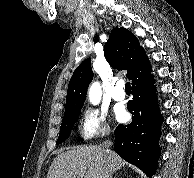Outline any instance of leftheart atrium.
<instances>
[{
	"label": "left heart atrium",
	"instance_id": "39dd6f15",
	"mask_svg": "<svg viewBox=\"0 0 194 178\" xmlns=\"http://www.w3.org/2000/svg\"><path fill=\"white\" fill-rule=\"evenodd\" d=\"M116 118L119 120V121H125L126 118H127V113L123 110V109H120L116 112Z\"/></svg>",
	"mask_w": 194,
	"mask_h": 178
}]
</instances>
